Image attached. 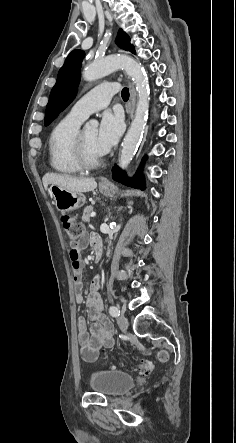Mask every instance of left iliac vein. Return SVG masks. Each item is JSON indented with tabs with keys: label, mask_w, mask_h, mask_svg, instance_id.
I'll return each mask as SVG.
<instances>
[{
	"label": "left iliac vein",
	"mask_w": 236,
	"mask_h": 443,
	"mask_svg": "<svg viewBox=\"0 0 236 443\" xmlns=\"http://www.w3.org/2000/svg\"><path fill=\"white\" fill-rule=\"evenodd\" d=\"M117 323H118L119 328L122 331L127 330V328H128V320H127V318L124 315L118 316Z\"/></svg>",
	"instance_id": "left-iliac-vein-1"
}]
</instances>
